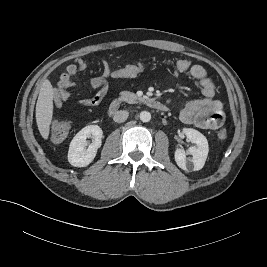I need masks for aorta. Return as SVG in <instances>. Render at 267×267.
I'll return each mask as SVG.
<instances>
[{
    "label": "aorta",
    "mask_w": 267,
    "mask_h": 267,
    "mask_svg": "<svg viewBox=\"0 0 267 267\" xmlns=\"http://www.w3.org/2000/svg\"><path fill=\"white\" fill-rule=\"evenodd\" d=\"M139 117L142 122H149L151 120V114L148 111H142Z\"/></svg>",
    "instance_id": "obj_1"
}]
</instances>
